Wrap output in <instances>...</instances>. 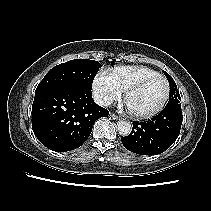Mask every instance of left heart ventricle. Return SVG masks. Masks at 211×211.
Returning a JSON list of instances; mask_svg holds the SVG:
<instances>
[{"label":"left heart ventricle","instance_id":"obj_1","mask_svg":"<svg viewBox=\"0 0 211 211\" xmlns=\"http://www.w3.org/2000/svg\"><path fill=\"white\" fill-rule=\"evenodd\" d=\"M166 93L165 82L161 79L150 81L127 98L128 107L138 113H146L157 108Z\"/></svg>","mask_w":211,"mask_h":211}]
</instances>
